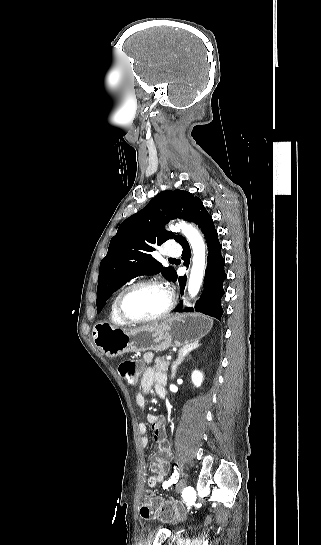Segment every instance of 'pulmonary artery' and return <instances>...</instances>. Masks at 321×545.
Returning a JSON list of instances; mask_svg holds the SVG:
<instances>
[{
    "mask_svg": "<svg viewBox=\"0 0 321 545\" xmlns=\"http://www.w3.org/2000/svg\"><path fill=\"white\" fill-rule=\"evenodd\" d=\"M167 248L168 250L164 252V259L166 261H175L177 257H180L182 250L177 241H170Z\"/></svg>",
    "mask_w": 321,
    "mask_h": 545,
    "instance_id": "e3ab8cb5",
    "label": "pulmonary artery"
}]
</instances>
